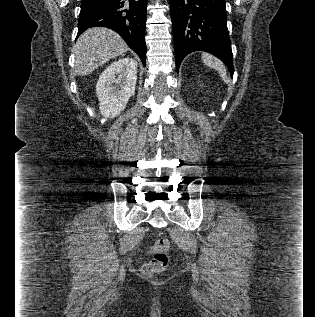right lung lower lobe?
<instances>
[{
  "instance_id": "1",
  "label": "right lung lower lobe",
  "mask_w": 315,
  "mask_h": 317,
  "mask_svg": "<svg viewBox=\"0 0 315 317\" xmlns=\"http://www.w3.org/2000/svg\"><path fill=\"white\" fill-rule=\"evenodd\" d=\"M147 0H82L78 36L86 29L103 26L116 31L146 64Z\"/></svg>"
}]
</instances>
